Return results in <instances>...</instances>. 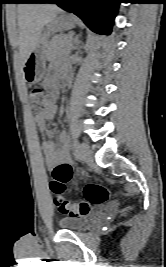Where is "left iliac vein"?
<instances>
[{"label": "left iliac vein", "instance_id": "4c4485c4", "mask_svg": "<svg viewBox=\"0 0 166 267\" xmlns=\"http://www.w3.org/2000/svg\"><path fill=\"white\" fill-rule=\"evenodd\" d=\"M77 150L80 158L88 165L93 163V156L89 146L86 143H78Z\"/></svg>", "mask_w": 166, "mask_h": 267}]
</instances>
